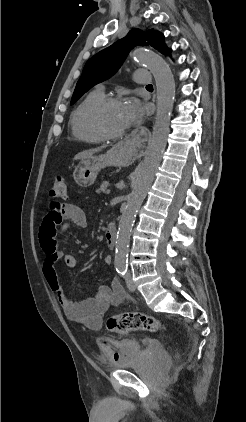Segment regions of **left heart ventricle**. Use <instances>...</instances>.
Masks as SVG:
<instances>
[{"instance_id":"1","label":"left heart ventricle","mask_w":246,"mask_h":422,"mask_svg":"<svg viewBox=\"0 0 246 422\" xmlns=\"http://www.w3.org/2000/svg\"><path fill=\"white\" fill-rule=\"evenodd\" d=\"M104 122L107 128L113 132L126 130L123 104L109 106L104 113Z\"/></svg>"}]
</instances>
